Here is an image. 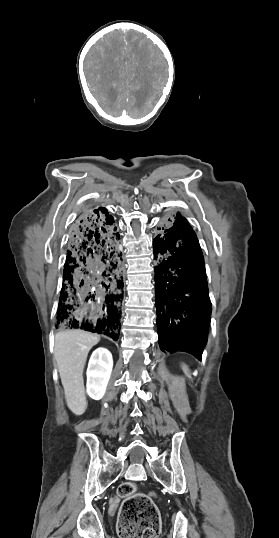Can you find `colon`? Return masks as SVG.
Returning <instances> with one entry per match:
<instances>
[{
    "mask_svg": "<svg viewBox=\"0 0 279 538\" xmlns=\"http://www.w3.org/2000/svg\"><path fill=\"white\" fill-rule=\"evenodd\" d=\"M123 503L118 521L121 538H156L160 530L159 512L150 496L137 492L136 485L126 482L118 488Z\"/></svg>",
    "mask_w": 279,
    "mask_h": 538,
    "instance_id": "1",
    "label": "colon"
}]
</instances>
